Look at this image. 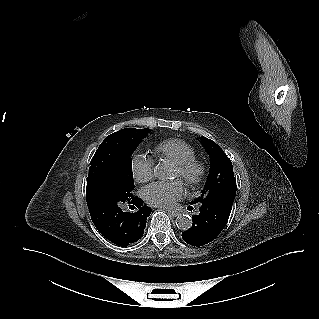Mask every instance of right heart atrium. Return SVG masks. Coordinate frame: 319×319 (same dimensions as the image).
Segmentation results:
<instances>
[{
    "instance_id": "d8ad5b80",
    "label": "right heart atrium",
    "mask_w": 319,
    "mask_h": 319,
    "mask_svg": "<svg viewBox=\"0 0 319 319\" xmlns=\"http://www.w3.org/2000/svg\"><path fill=\"white\" fill-rule=\"evenodd\" d=\"M154 161L151 157L136 153L131 159V171L136 182L144 183L153 177Z\"/></svg>"
}]
</instances>
